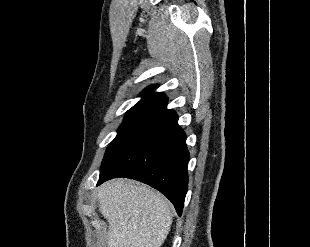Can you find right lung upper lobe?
Listing matches in <instances>:
<instances>
[{"mask_svg": "<svg viewBox=\"0 0 310 247\" xmlns=\"http://www.w3.org/2000/svg\"><path fill=\"white\" fill-rule=\"evenodd\" d=\"M156 85L149 86L143 92V98L134 105L130 110H151L157 114L167 110V98L161 92H154Z\"/></svg>", "mask_w": 310, "mask_h": 247, "instance_id": "1", "label": "right lung upper lobe"}]
</instances>
